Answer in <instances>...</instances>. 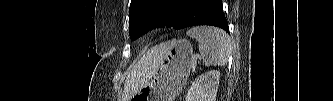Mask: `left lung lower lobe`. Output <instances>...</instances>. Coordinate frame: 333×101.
Returning <instances> with one entry per match:
<instances>
[{
    "mask_svg": "<svg viewBox=\"0 0 333 101\" xmlns=\"http://www.w3.org/2000/svg\"><path fill=\"white\" fill-rule=\"evenodd\" d=\"M184 6L178 28L195 25H211L229 33L228 22L223 13L222 0H181ZM178 29V30H179Z\"/></svg>",
    "mask_w": 333,
    "mask_h": 101,
    "instance_id": "1",
    "label": "left lung lower lobe"
}]
</instances>
